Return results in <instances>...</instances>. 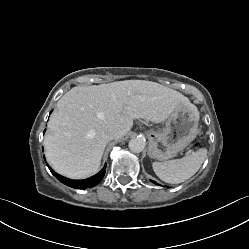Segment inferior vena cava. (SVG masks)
<instances>
[{"mask_svg": "<svg viewBox=\"0 0 249 249\" xmlns=\"http://www.w3.org/2000/svg\"><path fill=\"white\" fill-rule=\"evenodd\" d=\"M102 136L108 141H110L112 139L119 138V133L114 129H107L103 132Z\"/></svg>", "mask_w": 249, "mask_h": 249, "instance_id": "obj_1", "label": "inferior vena cava"}]
</instances>
